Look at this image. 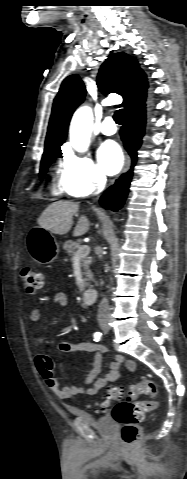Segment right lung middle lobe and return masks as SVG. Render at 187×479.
I'll use <instances>...</instances> for the list:
<instances>
[{
    "label": "right lung middle lobe",
    "mask_w": 187,
    "mask_h": 479,
    "mask_svg": "<svg viewBox=\"0 0 187 479\" xmlns=\"http://www.w3.org/2000/svg\"><path fill=\"white\" fill-rule=\"evenodd\" d=\"M58 149H52L44 152L42 162H41V169H40V178L42 179L50 165L51 161L59 155Z\"/></svg>",
    "instance_id": "dd1d6c3e"
}]
</instances>
